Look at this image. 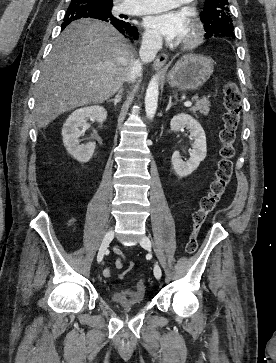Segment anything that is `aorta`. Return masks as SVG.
Segmentation results:
<instances>
[{
    "mask_svg": "<svg viewBox=\"0 0 276 363\" xmlns=\"http://www.w3.org/2000/svg\"><path fill=\"white\" fill-rule=\"evenodd\" d=\"M159 83L155 76L149 82L145 95V111L149 119H152L156 113L158 105Z\"/></svg>",
    "mask_w": 276,
    "mask_h": 363,
    "instance_id": "obj_1",
    "label": "aorta"
}]
</instances>
